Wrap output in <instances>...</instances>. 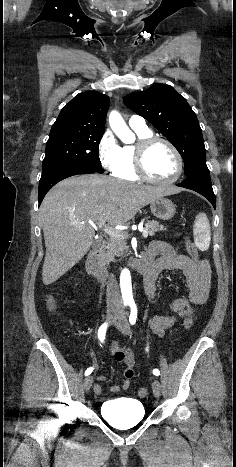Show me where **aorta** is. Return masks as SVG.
I'll list each match as a JSON object with an SVG mask.
<instances>
[{"label": "aorta", "mask_w": 236, "mask_h": 467, "mask_svg": "<svg viewBox=\"0 0 236 467\" xmlns=\"http://www.w3.org/2000/svg\"><path fill=\"white\" fill-rule=\"evenodd\" d=\"M109 125L112 131L125 143H130L133 134L129 130L127 124L117 111H111L109 114ZM120 288L122 297L125 301H132V284L131 274L127 268H124L120 274Z\"/></svg>", "instance_id": "aorta-1"}]
</instances>
